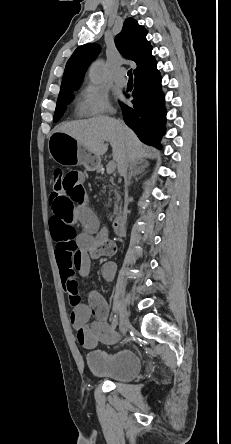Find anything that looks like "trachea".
Wrapping results in <instances>:
<instances>
[{"mask_svg":"<svg viewBox=\"0 0 231 444\" xmlns=\"http://www.w3.org/2000/svg\"><path fill=\"white\" fill-rule=\"evenodd\" d=\"M127 75L129 77V80L133 81V76H132V70L131 69L128 71Z\"/></svg>","mask_w":231,"mask_h":444,"instance_id":"obj_1","label":"trachea"}]
</instances>
